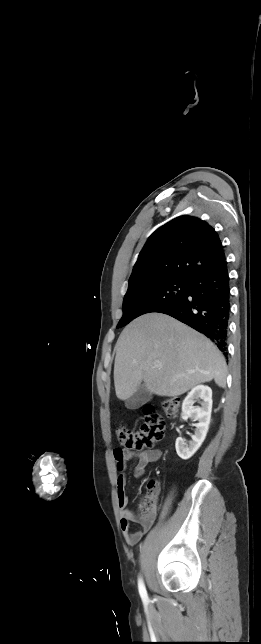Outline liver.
Returning <instances> with one entry per match:
<instances>
[{"instance_id":"obj_1","label":"liver","mask_w":261,"mask_h":644,"mask_svg":"<svg viewBox=\"0 0 261 644\" xmlns=\"http://www.w3.org/2000/svg\"><path fill=\"white\" fill-rule=\"evenodd\" d=\"M159 362L160 367L155 363ZM227 366L219 349L204 335L161 313L142 315L128 324L116 343V396L127 400L144 381L155 395L176 397L198 384L224 388Z\"/></svg>"}]
</instances>
